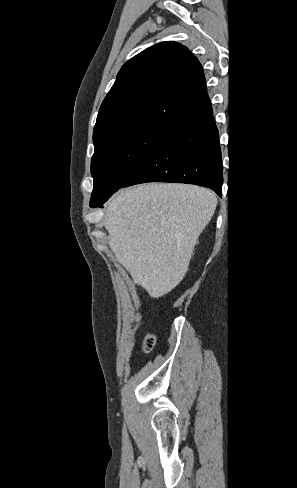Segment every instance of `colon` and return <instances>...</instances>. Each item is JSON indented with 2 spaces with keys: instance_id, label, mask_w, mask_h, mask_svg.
I'll use <instances>...</instances> for the list:
<instances>
[{
  "instance_id": "obj_1",
  "label": "colon",
  "mask_w": 297,
  "mask_h": 488,
  "mask_svg": "<svg viewBox=\"0 0 297 488\" xmlns=\"http://www.w3.org/2000/svg\"><path fill=\"white\" fill-rule=\"evenodd\" d=\"M155 345V337L152 334H147L143 340L142 348L143 351L148 353L150 352Z\"/></svg>"
}]
</instances>
